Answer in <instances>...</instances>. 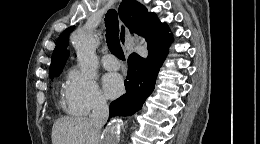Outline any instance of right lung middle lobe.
<instances>
[{"label": "right lung middle lobe", "instance_id": "1", "mask_svg": "<svg viewBox=\"0 0 260 144\" xmlns=\"http://www.w3.org/2000/svg\"><path fill=\"white\" fill-rule=\"evenodd\" d=\"M61 72H62V70L56 71V72H53V73H50V74H49V77H50V78L57 77V76L60 75Z\"/></svg>", "mask_w": 260, "mask_h": 144}]
</instances>
